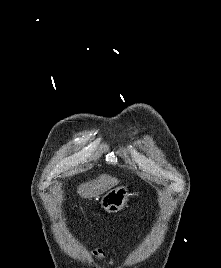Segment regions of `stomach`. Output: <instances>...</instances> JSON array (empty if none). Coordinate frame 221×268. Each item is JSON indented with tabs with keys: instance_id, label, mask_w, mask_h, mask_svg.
Returning a JSON list of instances; mask_svg holds the SVG:
<instances>
[{
	"instance_id": "0dacf381",
	"label": "stomach",
	"mask_w": 221,
	"mask_h": 268,
	"mask_svg": "<svg viewBox=\"0 0 221 268\" xmlns=\"http://www.w3.org/2000/svg\"><path fill=\"white\" fill-rule=\"evenodd\" d=\"M130 196L127 186L113 188L102 196L100 205L105 211L114 213L128 206Z\"/></svg>"
}]
</instances>
